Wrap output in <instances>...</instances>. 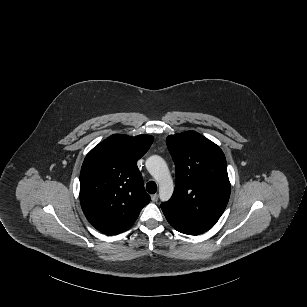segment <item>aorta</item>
<instances>
[{
	"label": "aorta",
	"mask_w": 307,
	"mask_h": 307,
	"mask_svg": "<svg viewBox=\"0 0 307 307\" xmlns=\"http://www.w3.org/2000/svg\"><path fill=\"white\" fill-rule=\"evenodd\" d=\"M145 167L159 183L160 201H169L173 195L174 186L166 161L160 155L153 154L145 160Z\"/></svg>",
	"instance_id": "obj_1"
}]
</instances>
